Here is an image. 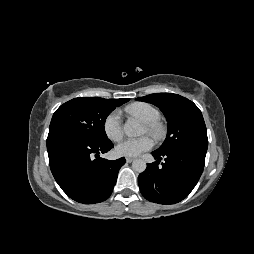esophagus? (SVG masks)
<instances>
[{
    "label": "esophagus",
    "mask_w": 254,
    "mask_h": 254,
    "mask_svg": "<svg viewBox=\"0 0 254 254\" xmlns=\"http://www.w3.org/2000/svg\"><path fill=\"white\" fill-rule=\"evenodd\" d=\"M133 160H134V158H131V157H127V158H126V161H127L128 163H131Z\"/></svg>",
    "instance_id": "34e87169"
}]
</instances>
